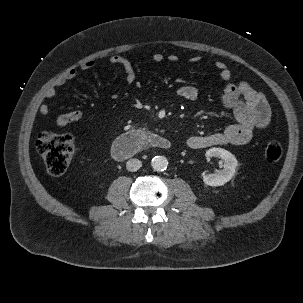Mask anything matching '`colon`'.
<instances>
[{
  "label": "colon",
  "instance_id": "obj_1",
  "mask_svg": "<svg viewBox=\"0 0 303 303\" xmlns=\"http://www.w3.org/2000/svg\"><path fill=\"white\" fill-rule=\"evenodd\" d=\"M36 148L43 158L47 170L52 175L63 174L74 153V138L70 134H59L51 131L39 133ZM283 149L279 142H269L264 151L267 162L274 163L282 157Z\"/></svg>",
  "mask_w": 303,
  "mask_h": 303
}]
</instances>
